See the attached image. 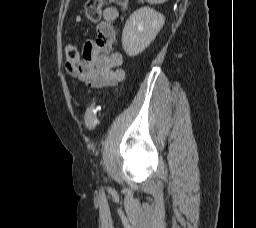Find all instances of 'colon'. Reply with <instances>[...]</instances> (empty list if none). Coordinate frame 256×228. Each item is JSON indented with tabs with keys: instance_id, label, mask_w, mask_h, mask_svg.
<instances>
[{
	"instance_id": "colon-1",
	"label": "colon",
	"mask_w": 256,
	"mask_h": 228,
	"mask_svg": "<svg viewBox=\"0 0 256 228\" xmlns=\"http://www.w3.org/2000/svg\"><path fill=\"white\" fill-rule=\"evenodd\" d=\"M117 3L122 9H126L128 0H88L85 5V13L89 21L97 23L101 18L102 8L105 5ZM66 58L69 64H76L80 54L76 47L68 44L65 48ZM99 107L93 101L85 112V126L89 131L95 129L98 122Z\"/></svg>"
}]
</instances>
